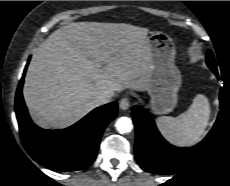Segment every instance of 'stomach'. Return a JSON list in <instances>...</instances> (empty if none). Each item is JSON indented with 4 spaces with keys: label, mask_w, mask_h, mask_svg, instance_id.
I'll use <instances>...</instances> for the list:
<instances>
[{
    "label": "stomach",
    "mask_w": 230,
    "mask_h": 186,
    "mask_svg": "<svg viewBox=\"0 0 230 186\" xmlns=\"http://www.w3.org/2000/svg\"><path fill=\"white\" fill-rule=\"evenodd\" d=\"M148 41L152 59L147 89L150 107L156 114H167L177 104L182 81L174 64L176 50L170 37L161 32H151Z\"/></svg>",
    "instance_id": "1"
}]
</instances>
